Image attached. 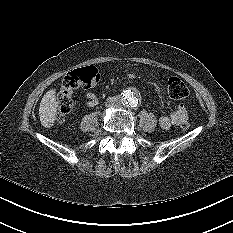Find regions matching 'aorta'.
Returning a JSON list of instances; mask_svg holds the SVG:
<instances>
[{
  "instance_id": "obj_1",
  "label": "aorta",
  "mask_w": 233,
  "mask_h": 233,
  "mask_svg": "<svg viewBox=\"0 0 233 233\" xmlns=\"http://www.w3.org/2000/svg\"><path fill=\"white\" fill-rule=\"evenodd\" d=\"M124 102L129 107H136L138 105V96L134 90H126L123 93Z\"/></svg>"
}]
</instances>
